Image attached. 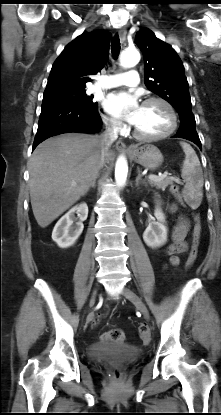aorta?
<instances>
[{"label":"aorta","instance_id":"762f6f07","mask_svg":"<svg viewBox=\"0 0 221 415\" xmlns=\"http://www.w3.org/2000/svg\"><path fill=\"white\" fill-rule=\"evenodd\" d=\"M140 61V53L136 49H129L122 52L120 64L122 67L131 68ZM128 174V163L125 156L120 155L115 165V180L118 186L122 187L126 183Z\"/></svg>","mask_w":221,"mask_h":415}]
</instances>
